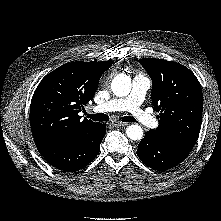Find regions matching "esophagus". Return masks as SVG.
<instances>
[{"label":"esophagus","instance_id":"1","mask_svg":"<svg viewBox=\"0 0 221 221\" xmlns=\"http://www.w3.org/2000/svg\"><path fill=\"white\" fill-rule=\"evenodd\" d=\"M112 125L114 127H123V126H126L127 123L115 120V121L112 122Z\"/></svg>","mask_w":221,"mask_h":221}]
</instances>
